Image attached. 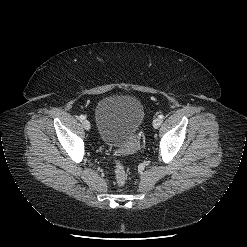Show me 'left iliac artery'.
Listing matches in <instances>:
<instances>
[{
	"instance_id": "1",
	"label": "left iliac artery",
	"mask_w": 247,
	"mask_h": 247,
	"mask_svg": "<svg viewBox=\"0 0 247 247\" xmlns=\"http://www.w3.org/2000/svg\"><path fill=\"white\" fill-rule=\"evenodd\" d=\"M158 117H159V119H161V120L164 119V115H162V114L159 115Z\"/></svg>"
}]
</instances>
